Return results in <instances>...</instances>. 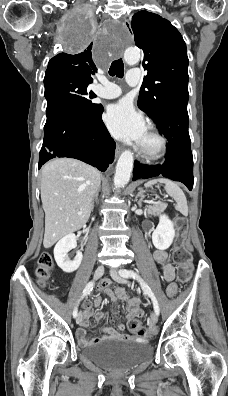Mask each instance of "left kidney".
<instances>
[{
    "label": "left kidney",
    "instance_id": "left-kidney-1",
    "mask_svg": "<svg viewBox=\"0 0 228 396\" xmlns=\"http://www.w3.org/2000/svg\"><path fill=\"white\" fill-rule=\"evenodd\" d=\"M175 237L173 222L166 215L159 217V224L152 233L153 245L159 250L168 249Z\"/></svg>",
    "mask_w": 228,
    "mask_h": 396
}]
</instances>
